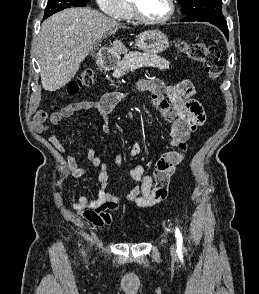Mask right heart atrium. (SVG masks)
Segmentation results:
<instances>
[{
  "label": "right heart atrium",
  "mask_w": 259,
  "mask_h": 294,
  "mask_svg": "<svg viewBox=\"0 0 259 294\" xmlns=\"http://www.w3.org/2000/svg\"><path fill=\"white\" fill-rule=\"evenodd\" d=\"M101 11L111 18L121 19L126 10V0H96Z\"/></svg>",
  "instance_id": "right-heart-atrium-1"
}]
</instances>
